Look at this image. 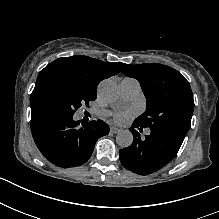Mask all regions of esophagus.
<instances>
[{"mask_svg":"<svg viewBox=\"0 0 219 219\" xmlns=\"http://www.w3.org/2000/svg\"><path fill=\"white\" fill-rule=\"evenodd\" d=\"M110 132L112 134H117L118 132H120V129L115 127V126H112V127H110Z\"/></svg>","mask_w":219,"mask_h":219,"instance_id":"34e87169","label":"esophagus"}]
</instances>
